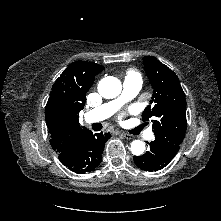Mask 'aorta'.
Returning a JSON list of instances; mask_svg holds the SVG:
<instances>
[{
  "label": "aorta",
  "mask_w": 221,
  "mask_h": 221,
  "mask_svg": "<svg viewBox=\"0 0 221 221\" xmlns=\"http://www.w3.org/2000/svg\"><path fill=\"white\" fill-rule=\"evenodd\" d=\"M122 90V84L119 79L113 76H107L100 80L98 84L99 94L106 98L112 99L117 97ZM130 150L133 155L139 156L145 151V143L141 140H134L131 143Z\"/></svg>",
  "instance_id": "obj_1"
}]
</instances>
